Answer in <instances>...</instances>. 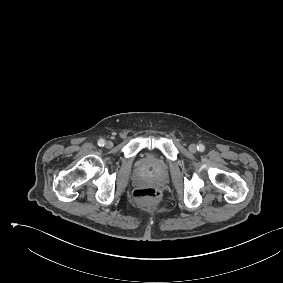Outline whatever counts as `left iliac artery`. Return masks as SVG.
Segmentation results:
<instances>
[{"mask_svg":"<svg viewBox=\"0 0 283 283\" xmlns=\"http://www.w3.org/2000/svg\"><path fill=\"white\" fill-rule=\"evenodd\" d=\"M197 150L200 151V152H203L205 150V146L203 144H199L197 146Z\"/></svg>","mask_w":283,"mask_h":283,"instance_id":"44dca946","label":"left iliac artery"}]
</instances>
